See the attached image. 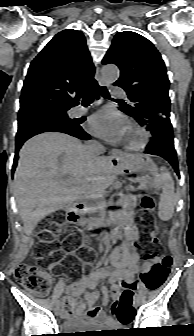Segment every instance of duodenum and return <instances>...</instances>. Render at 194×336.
Listing matches in <instances>:
<instances>
[{"label":"duodenum","instance_id":"410a0bca","mask_svg":"<svg viewBox=\"0 0 194 336\" xmlns=\"http://www.w3.org/2000/svg\"><path fill=\"white\" fill-rule=\"evenodd\" d=\"M86 211V204L82 202L75 203L69 208L67 212V219L70 223H76L80 217L86 213Z\"/></svg>","mask_w":194,"mask_h":336}]
</instances>
